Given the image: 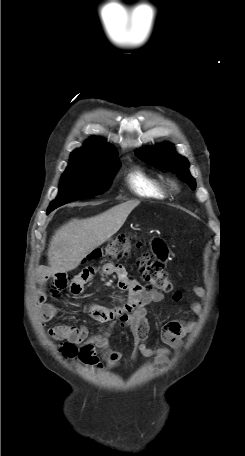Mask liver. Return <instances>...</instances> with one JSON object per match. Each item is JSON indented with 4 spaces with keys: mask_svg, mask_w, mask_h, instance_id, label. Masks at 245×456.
<instances>
[{
    "mask_svg": "<svg viewBox=\"0 0 245 456\" xmlns=\"http://www.w3.org/2000/svg\"><path fill=\"white\" fill-rule=\"evenodd\" d=\"M140 204L130 200L84 220L73 219L60 227L48 248V274L67 272L80 265L94 249L119 231L131 211Z\"/></svg>",
    "mask_w": 245,
    "mask_h": 456,
    "instance_id": "6515ba94",
    "label": "liver"
}]
</instances>
